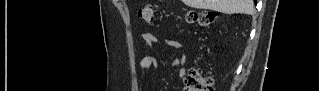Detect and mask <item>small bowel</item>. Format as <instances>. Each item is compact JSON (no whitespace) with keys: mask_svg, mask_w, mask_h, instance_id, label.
Here are the masks:
<instances>
[{"mask_svg":"<svg viewBox=\"0 0 319 91\" xmlns=\"http://www.w3.org/2000/svg\"><path fill=\"white\" fill-rule=\"evenodd\" d=\"M143 41L147 45H158L161 42L159 39L151 32H145L142 34ZM162 45L171 48V49H180L182 48V42L177 39H165L162 41ZM187 57L185 55H181L171 61V65L173 67L178 68V75L181 78L186 76V68L184 67L186 63ZM140 68L142 69H150L157 66V60L154 56H145L140 60Z\"/></svg>","mask_w":319,"mask_h":91,"instance_id":"small-bowel-1","label":"small bowel"}]
</instances>
